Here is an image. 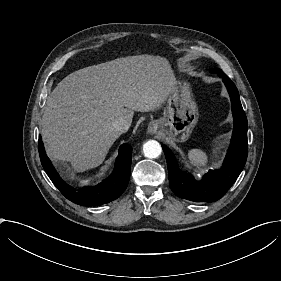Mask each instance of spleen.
Returning <instances> with one entry per match:
<instances>
[{
    "label": "spleen",
    "mask_w": 281,
    "mask_h": 281,
    "mask_svg": "<svg viewBox=\"0 0 281 281\" xmlns=\"http://www.w3.org/2000/svg\"><path fill=\"white\" fill-rule=\"evenodd\" d=\"M190 165L197 169H204L208 166L209 156L206 151L200 148H190L186 153Z\"/></svg>",
    "instance_id": "1"
}]
</instances>
